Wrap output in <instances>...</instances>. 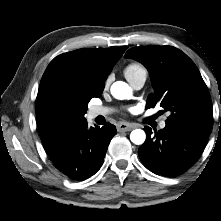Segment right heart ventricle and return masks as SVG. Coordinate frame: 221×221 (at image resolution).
I'll return each instance as SVG.
<instances>
[{"instance_id":"e07e8e85","label":"right heart ventricle","mask_w":221,"mask_h":221,"mask_svg":"<svg viewBox=\"0 0 221 221\" xmlns=\"http://www.w3.org/2000/svg\"><path fill=\"white\" fill-rule=\"evenodd\" d=\"M124 72H125L126 78H131V77H134L140 73L145 72V70L141 65H139L137 63H132L126 67Z\"/></svg>"}]
</instances>
